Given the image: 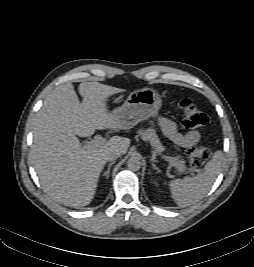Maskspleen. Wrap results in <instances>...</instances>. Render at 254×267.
<instances>
[{
    "instance_id": "1",
    "label": "spleen",
    "mask_w": 254,
    "mask_h": 267,
    "mask_svg": "<svg viewBox=\"0 0 254 267\" xmlns=\"http://www.w3.org/2000/svg\"><path fill=\"white\" fill-rule=\"evenodd\" d=\"M223 160L221 151H216L203 170L194 177L174 179L169 182L172 198L180 208L188 207L207 195L220 173Z\"/></svg>"
}]
</instances>
